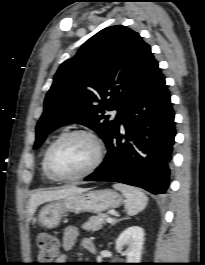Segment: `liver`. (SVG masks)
I'll use <instances>...</instances> for the list:
<instances>
[{
    "label": "liver",
    "mask_w": 205,
    "mask_h": 265,
    "mask_svg": "<svg viewBox=\"0 0 205 265\" xmlns=\"http://www.w3.org/2000/svg\"><path fill=\"white\" fill-rule=\"evenodd\" d=\"M85 191H87L86 188H79L76 186H64L58 190L37 191L33 193L32 196L30 197L28 204V221L31 220L33 214L35 213L39 205L45 202L59 200L73 194L83 193Z\"/></svg>",
    "instance_id": "obj_1"
}]
</instances>
